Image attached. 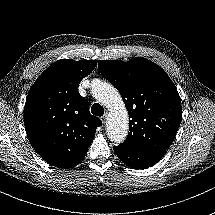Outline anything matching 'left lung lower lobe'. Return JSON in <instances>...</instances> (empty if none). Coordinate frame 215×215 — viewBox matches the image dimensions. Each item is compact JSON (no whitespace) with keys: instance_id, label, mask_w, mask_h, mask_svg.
I'll return each mask as SVG.
<instances>
[{"instance_id":"0a47b994","label":"left lung lower lobe","mask_w":215,"mask_h":215,"mask_svg":"<svg viewBox=\"0 0 215 215\" xmlns=\"http://www.w3.org/2000/svg\"><path fill=\"white\" fill-rule=\"evenodd\" d=\"M114 152L126 165L134 169H145L156 164L166 152L139 153L114 147Z\"/></svg>"}]
</instances>
